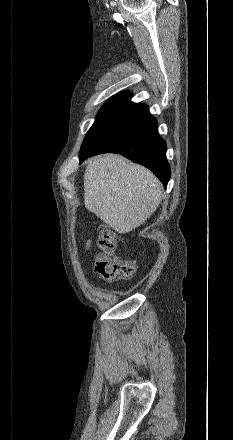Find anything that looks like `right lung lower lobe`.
<instances>
[{
	"mask_svg": "<svg viewBox=\"0 0 233 440\" xmlns=\"http://www.w3.org/2000/svg\"><path fill=\"white\" fill-rule=\"evenodd\" d=\"M148 106L129 103L84 138L79 160L101 153H118L149 168L163 183L170 179L166 143Z\"/></svg>",
	"mask_w": 233,
	"mask_h": 440,
	"instance_id": "right-lung-lower-lobe-1",
	"label": "right lung lower lobe"
}]
</instances>
